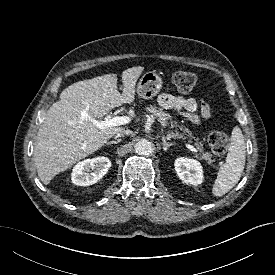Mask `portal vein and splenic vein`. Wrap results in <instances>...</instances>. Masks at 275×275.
<instances>
[{"mask_svg":"<svg viewBox=\"0 0 275 275\" xmlns=\"http://www.w3.org/2000/svg\"><path fill=\"white\" fill-rule=\"evenodd\" d=\"M82 118H87V115L83 113ZM91 121L96 127L103 129L128 124L131 118L128 116H114L112 118H105L104 121H98L96 119H91ZM185 146L192 152H197V149L189 143H185Z\"/></svg>","mask_w":275,"mask_h":275,"instance_id":"18ae733b","label":"portal vein and splenic vein"}]
</instances>
